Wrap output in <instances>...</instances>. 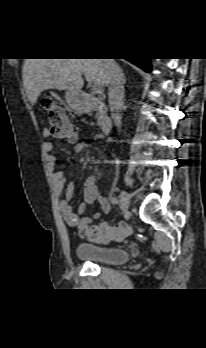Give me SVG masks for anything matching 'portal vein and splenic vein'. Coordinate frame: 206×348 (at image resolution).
<instances>
[{
	"label": "portal vein and splenic vein",
	"mask_w": 206,
	"mask_h": 348,
	"mask_svg": "<svg viewBox=\"0 0 206 348\" xmlns=\"http://www.w3.org/2000/svg\"><path fill=\"white\" fill-rule=\"evenodd\" d=\"M92 90H93L95 93H97V94H101V93L103 92L102 86H101L100 84H98V83H94V84L92 85Z\"/></svg>",
	"instance_id": "18ae733b"
}]
</instances>
